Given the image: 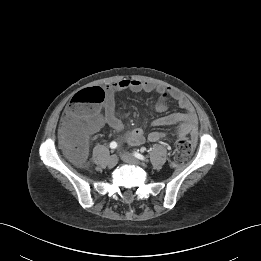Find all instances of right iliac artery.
I'll use <instances>...</instances> for the list:
<instances>
[{"mask_svg":"<svg viewBox=\"0 0 261 261\" xmlns=\"http://www.w3.org/2000/svg\"><path fill=\"white\" fill-rule=\"evenodd\" d=\"M110 148H111V149L117 148V143H116L115 141H112V142L110 143Z\"/></svg>","mask_w":261,"mask_h":261,"instance_id":"obj_1","label":"right iliac artery"}]
</instances>
